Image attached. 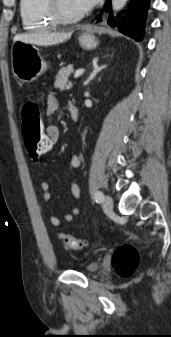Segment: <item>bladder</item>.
<instances>
[{"label":"bladder","instance_id":"31cf9c89","mask_svg":"<svg viewBox=\"0 0 171 337\" xmlns=\"http://www.w3.org/2000/svg\"><path fill=\"white\" fill-rule=\"evenodd\" d=\"M100 269V263L92 262L85 267V272L88 274H94Z\"/></svg>","mask_w":171,"mask_h":337}]
</instances>
